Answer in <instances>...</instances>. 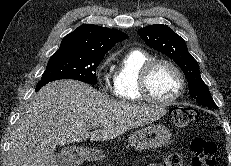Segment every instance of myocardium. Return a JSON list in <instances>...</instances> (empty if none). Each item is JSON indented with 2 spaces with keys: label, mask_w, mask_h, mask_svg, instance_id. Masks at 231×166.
<instances>
[{
  "label": "myocardium",
  "mask_w": 231,
  "mask_h": 166,
  "mask_svg": "<svg viewBox=\"0 0 231 166\" xmlns=\"http://www.w3.org/2000/svg\"><path fill=\"white\" fill-rule=\"evenodd\" d=\"M165 64L169 66L177 75L179 86L177 91L168 99H159L152 95L149 89V76L155 66ZM138 88L143 99L162 106H167L175 102L185 89V77L182 70L173 61L166 58H154L143 65L139 74Z\"/></svg>",
  "instance_id": "myocardium-1"
}]
</instances>
